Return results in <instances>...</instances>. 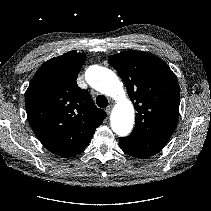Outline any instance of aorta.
Listing matches in <instances>:
<instances>
[{"label":"aorta","instance_id":"762f6f07","mask_svg":"<svg viewBox=\"0 0 211 211\" xmlns=\"http://www.w3.org/2000/svg\"><path fill=\"white\" fill-rule=\"evenodd\" d=\"M85 77L94 89L118 101L111 114V128L117 135L127 136L134 124V107L117 75L108 68L93 65L87 69Z\"/></svg>","mask_w":211,"mask_h":211}]
</instances>
